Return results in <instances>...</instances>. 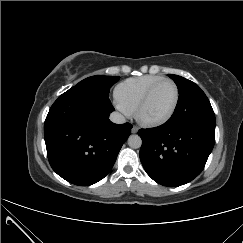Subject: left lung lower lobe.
Listing matches in <instances>:
<instances>
[{
    "label": "left lung lower lobe",
    "instance_id": "obj_1",
    "mask_svg": "<svg viewBox=\"0 0 243 243\" xmlns=\"http://www.w3.org/2000/svg\"><path fill=\"white\" fill-rule=\"evenodd\" d=\"M140 160L157 183L177 187L204 169L215 142V125L170 118L161 126L140 129Z\"/></svg>",
    "mask_w": 243,
    "mask_h": 243
}]
</instances>
